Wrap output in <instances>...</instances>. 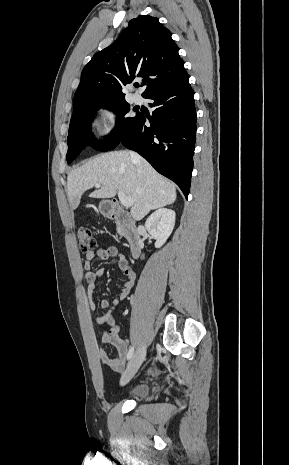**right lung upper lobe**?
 Masks as SVG:
<instances>
[{
    "label": "right lung upper lobe",
    "mask_w": 289,
    "mask_h": 465,
    "mask_svg": "<svg viewBox=\"0 0 289 465\" xmlns=\"http://www.w3.org/2000/svg\"><path fill=\"white\" fill-rule=\"evenodd\" d=\"M171 32L156 17L140 15L109 47L96 53L84 67L74 95V108L96 100L125 99L124 86L143 78L149 94L188 80ZM73 115L70 124L74 121Z\"/></svg>",
    "instance_id": "1"
}]
</instances>
